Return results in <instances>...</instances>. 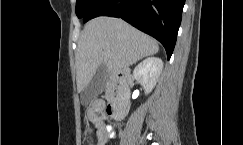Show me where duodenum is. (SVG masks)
<instances>
[{"instance_id":"duodenum-1","label":"duodenum","mask_w":243,"mask_h":145,"mask_svg":"<svg viewBox=\"0 0 243 145\" xmlns=\"http://www.w3.org/2000/svg\"><path fill=\"white\" fill-rule=\"evenodd\" d=\"M129 73L126 70H117L113 74V91L107 106V113L114 120L125 118L129 108Z\"/></svg>"}]
</instances>
